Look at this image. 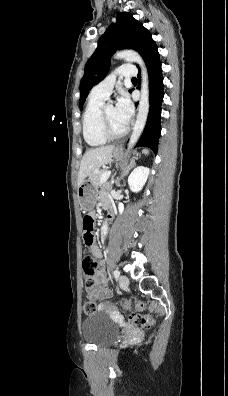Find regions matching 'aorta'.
<instances>
[{
    "mask_svg": "<svg viewBox=\"0 0 228 396\" xmlns=\"http://www.w3.org/2000/svg\"><path fill=\"white\" fill-rule=\"evenodd\" d=\"M117 60H125L127 62L137 63L141 68V97L138 105V113L133 131L128 143V150H130L138 141L145 127L148 113H149V77L147 68L142 57L133 50L119 51L114 55ZM102 235L105 237L108 233L107 222H104L101 227Z\"/></svg>",
    "mask_w": 228,
    "mask_h": 396,
    "instance_id": "762f6f07",
    "label": "aorta"
}]
</instances>
